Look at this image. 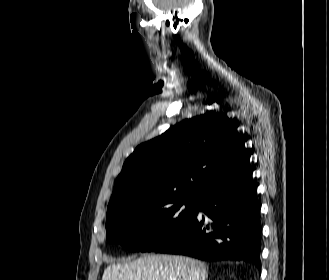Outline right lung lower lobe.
<instances>
[{"mask_svg":"<svg viewBox=\"0 0 329 280\" xmlns=\"http://www.w3.org/2000/svg\"><path fill=\"white\" fill-rule=\"evenodd\" d=\"M249 161L213 182L182 230L154 251L201 260H243L259 270L260 221ZM203 211L209 219L198 216Z\"/></svg>","mask_w":329,"mask_h":280,"instance_id":"1","label":"right lung lower lobe"}]
</instances>
